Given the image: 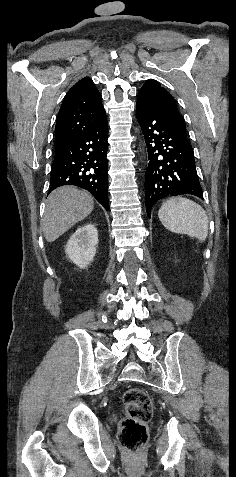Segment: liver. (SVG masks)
<instances>
[{
	"instance_id": "6515ba94",
	"label": "liver",
	"mask_w": 236,
	"mask_h": 477,
	"mask_svg": "<svg viewBox=\"0 0 236 477\" xmlns=\"http://www.w3.org/2000/svg\"><path fill=\"white\" fill-rule=\"evenodd\" d=\"M94 208L93 197L73 186H62L50 193L43 217V233L48 242H53L79 221L86 218Z\"/></svg>"
}]
</instances>
